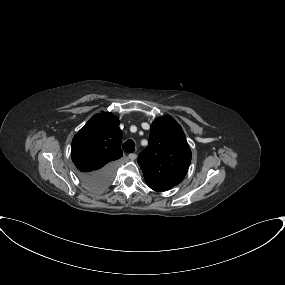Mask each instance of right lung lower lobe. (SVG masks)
<instances>
[{"label": "right lung lower lobe", "instance_id": "98d812e1", "mask_svg": "<svg viewBox=\"0 0 285 285\" xmlns=\"http://www.w3.org/2000/svg\"><path fill=\"white\" fill-rule=\"evenodd\" d=\"M117 162H112L105 167L91 173H81L83 184L93 191H100L109 186L114 178Z\"/></svg>", "mask_w": 285, "mask_h": 285}]
</instances>
